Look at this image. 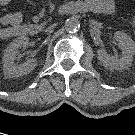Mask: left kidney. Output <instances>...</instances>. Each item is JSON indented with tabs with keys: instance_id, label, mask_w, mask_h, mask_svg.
<instances>
[{
	"instance_id": "obj_1",
	"label": "left kidney",
	"mask_w": 135,
	"mask_h": 135,
	"mask_svg": "<svg viewBox=\"0 0 135 135\" xmlns=\"http://www.w3.org/2000/svg\"><path fill=\"white\" fill-rule=\"evenodd\" d=\"M114 38L122 50V56L119 59L114 58L108 55L105 49L100 48L97 51L98 59L105 68L117 70L127 69L132 64L135 53V42L129 35L121 31L115 32Z\"/></svg>"
}]
</instances>
